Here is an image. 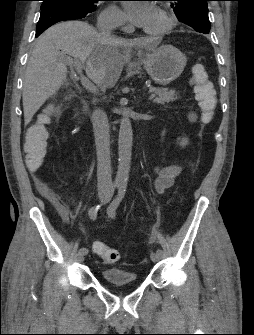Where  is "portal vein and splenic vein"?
Wrapping results in <instances>:
<instances>
[{
    "label": "portal vein and splenic vein",
    "instance_id": "portal-vein-and-splenic-vein-1",
    "mask_svg": "<svg viewBox=\"0 0 254 335\" xmlns=\"http://www.w3.org/2000/svg\"><path fill=\"white\" fill-rule=\"evenodd\" d=\"M67 63H69L70 65H72L76 71L78 72V74L80 75V81L82 86L87 89L88 91L92 92V93H96L98 91L97 87L87 78L82 74V70H83V65L82 62L79 59H68ZM156 94H151L149 96V100H153L155 98Z\"/></svg>",
    "mask_w": 254,
    "mask_h": 335
}]
</instances>
